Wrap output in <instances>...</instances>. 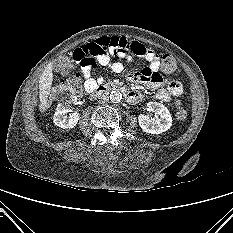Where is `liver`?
Here are the masks:
<instances>
[{
  "mask_svg": "<svg viewBox=\"0 0 233 233\" xmlns=\"http://www.w3.org/2000/svg\"><path fill=\"white\" fill-rule=\"evenodd\" d=\"M52 82H53L52 65L48 64L47 67L42 72V75L39 80V98L42 109H45L46 107L48 95L51 91Z\"/></svg>",
  "mask_w": 233,
  "mask_h": 233,
  "instance_id": "liver-1",
  "label": "liver"
}]
</instances>
